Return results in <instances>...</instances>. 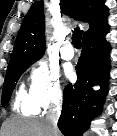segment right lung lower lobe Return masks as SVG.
Segmentation results:
<instances>
[{
  "instance_id": "right-lung-lower-lobe-1",
  "label": "right lung lower lobe",
  "mask_w": 117,
  "mask_h": 136,
  "mask_svg": "<svg viewBox=\"0 0 117 136\" xmlns=\"http://www.w3.org/2000/svg\"><path fill=\"white\" fill-rule=\"evenodd\" d=\"M108 30L109 26L82 41L81 57L76 66L77 82L68 84L63 94L58 128L64 136H83L104 103L110 68V45L105 40ZM94 85H100V90L94 91ZM93 105L98 107L94 108Z\"/></svg>"
}]
</instances>
